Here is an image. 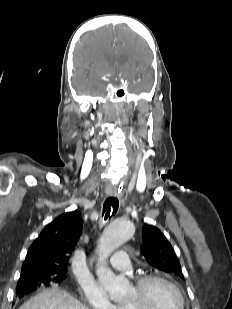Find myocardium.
I'll return each instance as SVG.
<instances>
[{"label": "myocardium", "instance_id": "1", "mask_svg": "<svg viewBox=\"0 0 232 309\" xmlns=\"http://www.w3.org/2000/svg\"><path fill=\"white\" fill-rule=\"evenodd\" d=\"M155 281L163 282L173 288L180 298V309L185 308V297L180 287L170 278L157 273L142 274L135 279L133 286L135 290V298L133 300L126 301L124 303L126 307L128 309H149L147 306V288L150 283Z\"/></svg>", "mask_w": 232, "mask_h": 309}]
</instances>
